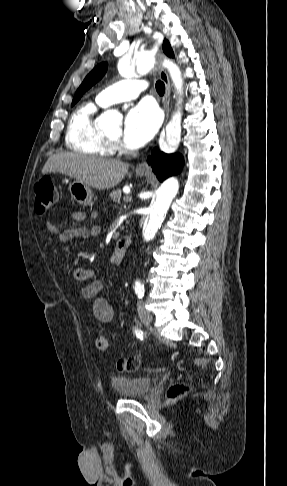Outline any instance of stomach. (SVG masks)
Listing matches in <instances>:
<instances>
[{"label":"stomach","mask_w":287,"mask_h":486,"mask_svg":"<svg viewBox=\"0 0 287 486\" xmlns=\"http://www.w3.org/2000/svg\"><path fill=\"white\" fill-rule=\"evenodd\" d=\"M138 176H143V172H136ZM69 191L71 193V197L77 201L79 204L82 205H89L92 201V189L90 186L79 182L77 180L73 181L69 185Z\"/></svg>","instance_id":"obj_1"}]
</instances>
